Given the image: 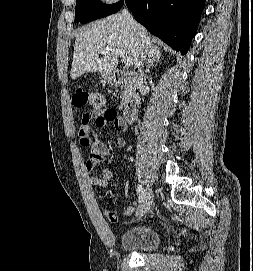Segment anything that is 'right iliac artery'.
<instances>
[{
    "instance_id": "1",
    "label": "right iliac artery",
    "mask_w": 253,
    "mask_h": 271,
    "mask_svg": "<svg viewBox=\"0 0 253 271\" xmlns=\"http://www.w3.org/2000/svg\"><path fill=\"white\" fill-rule=\"evenodd\" d=\"M137 194H138V200H139V203L143 201V198H144V191H143V188L141 185H138L137 186Z\"/></svg>"
}]
</instances>
